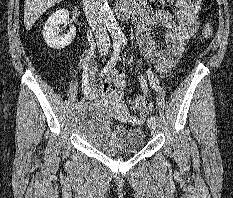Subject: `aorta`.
I'll list each match as a JSON object with an SVG mask.
<instances>
[{"label": "aorta", "instance_id": "762f6f07", "mask_svg": "<svg viewBox=\"0 0 233 198\" xmlns=\"http://www.w3.org/2000/svg\"><path fill=\"white\" fill-rule=\"evenodd\" d=\"M103 3V15L108 27V30L113 38L114 42H121L125 40V36L121 31L119 24L113 16L112 10L108 4V0H102Z\"/></svg>", "mask_w": 233, "mask_h": 198}]
</instances>
